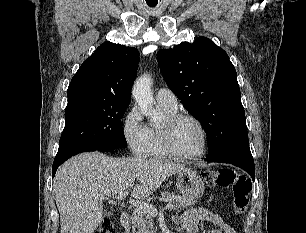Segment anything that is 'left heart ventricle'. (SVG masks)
<instances>
[{
    "label": "left heart ventricle",
    "mask_w": 306,
    "mask_h": 233,
    "mask_svg": "<svg viewBox=\"0 0 306 233\" xmlns=\"http://www.w3.org/2000/svg\"><path fill=\"white\" fill-rule=\"evenodd\" d=\"M173 141L176 148L184 154H195L202 148L201 131L191 120H183L175 127Z\"/></svg>",
    "instance_id": "1"
}]
</instances>
